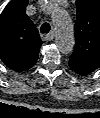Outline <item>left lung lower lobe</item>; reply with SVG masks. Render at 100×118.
Wrapping results in <instances>:
<instances>
[{
    "mask_svg": "<svg viewBox=\"0 0 100 118\" xmlns=\"http://www.w3.org/2000/svg\"><path fill=\"white\" fill-rule=\"evenodd\" d=\"M69 67L74 71L76 72L77 74L81 75V76H85V75H88L89 72L83 70V69H80L76 66H72V65H69Z\"/></svg>",
    "mask_w": 100,
    "mask_h": 118,
    "instance_id": "obj_1",
    "label": "left lung lower lobe"
}]
</instances>
